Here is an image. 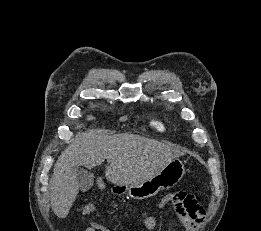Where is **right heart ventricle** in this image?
<instances>
[{"label":"right heart ventricle","mask_w":261,"mask_h":231,"mask_svg":"<svg viewBox=\"0 0 261 231\" xmlns=\"http://www.w3.org/2000/svg\"><path fill=\"white\" fill-rule=\"evenodd\" d=\"M150 125L159 131H163L166 129V125L159 115H155L150 119Z\"/></svg>","instance_id":"obj_1"}]
</instances>
